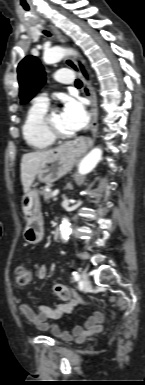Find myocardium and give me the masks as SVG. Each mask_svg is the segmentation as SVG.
Segmentation results:
<instances>
[{"label": "myocardium", "mask_w": 145, "mask_h": 385, "mask_svg": "<svg viewBox=\"0 0 145 385\" xmlns=\"http://www.w3.org/2000/svg\"><path fill=\"white\" fill-rule=\"evenodd\" d=\"M57 111H58L57 108H51L50 110H48L46 112V114L44 115V117L42 119L43 130L53 140L69 139V138H71L73 136V134H63V133H60V132H58L57 130L54 129V127H53V125L51 123L52 115L55 112H57Z\"/></svg>", "instance_id": "obj_1"}]
</instances>
